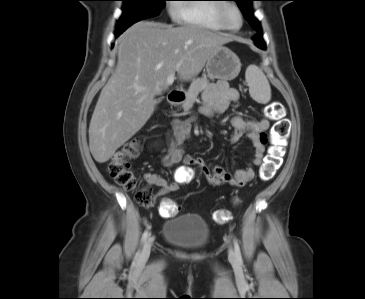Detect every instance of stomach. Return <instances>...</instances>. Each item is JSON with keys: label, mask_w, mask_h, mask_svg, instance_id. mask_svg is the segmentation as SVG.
Segmentation results:
<instances>
[{"label": "stomach", "mask_w": 365, "mask_h": 299, "mask_svg": "<svg viewBox=\"0 0 365 299\" xmlns=\"http://www.w3.org/2000/svg\"><path fill=\"white\" fill-rule=\"evenodd\" d=\"M240 70V59L224 46L216 49L206 63L207 75L211 79L233 80Z\"/></svg>", "instance_id": "obj_1"}]
</instances>
